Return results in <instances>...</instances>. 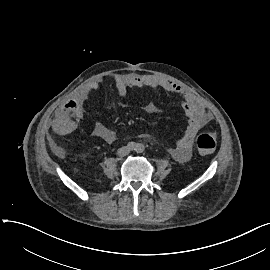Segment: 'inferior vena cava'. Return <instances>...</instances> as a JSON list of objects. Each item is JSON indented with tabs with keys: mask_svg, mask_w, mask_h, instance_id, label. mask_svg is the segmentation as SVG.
<instances>
[{
	"mask_svg": "<svg viewBox=\"0 0 270 270\" xmlns=\"http://www.w3.org/2000/svg\"><path fill=\"white\" fill-rule=\"evenodd\" d=\"M129 152H130V150L127 147H121L120 149H118V156L124 157V156L128 155Z\"/></svg>",
	"mask_w": 270,
	"mask_h": 270,
	"instance_id": "1",
	"label": "inferior vena cava"
}]
</instances>
